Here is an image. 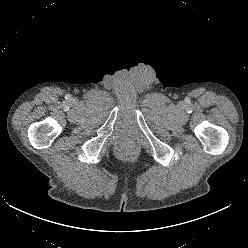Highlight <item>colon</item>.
Returning a JSON list of instances; mask_svg holds the SVG:
<instances>
[{
	"label": "colon",
	"instance_id": "colon-1",
	"mask_svg": "<svg viewBox=\"0 0 248 248\" xmlns=\"http://www.w3.org/2000/svg\"><path fill=\"white\" fill-rule=\"evenodd\" d=\"M117 155H119V156H125V155H127V151L124 150V149H118L117 150Z\"/></svg>",
	"mask_w": 248,
	"mask_h": 248
}]
</instances>
